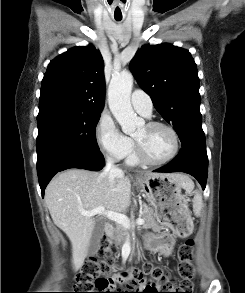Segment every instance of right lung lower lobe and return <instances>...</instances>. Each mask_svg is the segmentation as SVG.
<instances>
[{
	"label": "right lung lower lobe",
	"instance_id": "right-lung-lower-lobe-1",
	"mask_svg": "<svg viewBox=\"0 0 245 293\" xmlns=\"http://www.w3.org/2000/svg\"><path fill=\"white\" fill-rule=\"evenodd\" d=\"M104 164L105 160L100 152L70 150L56 154L37 169L42 195L44 196L45 187L57 172L69 168L99 171Z\"/></svg>",
	"mask_w": 245,
	"mask_h": 293
}]
</instances>
